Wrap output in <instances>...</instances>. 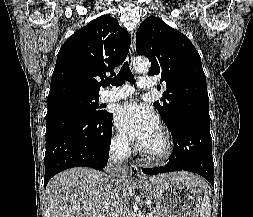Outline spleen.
Returning <instances> with one entry per match:
<instances>
[{
  "mask_svg": "<svg viewBox=\"0 0 253 217\" xmlns=\"http://www.w3.org/2000/svg\"><path fill=\"white\" fill-rule=\"evenodd\" d=\"M200 217H211L210 198L205 194L202 199Z\"/></svg>",
  "mask_w": 253,
  "mask_h": 217,
  "instance_id": "spleen-1",
  "label": "spleen"
}]
</instances>
